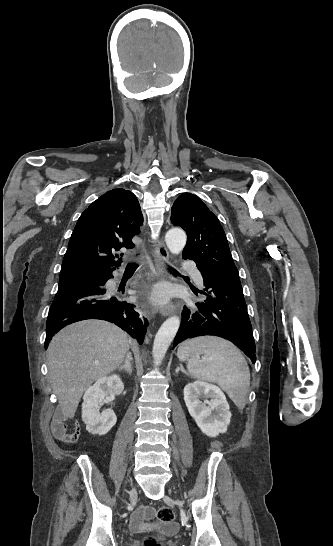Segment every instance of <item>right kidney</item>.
<instances>
[{"instance_id":"obj_1","label":"right kidney","mask_w":333,"mask_h":546,"mask_svg":"<svg viewBox=\"0 0 333 546\" xmlns=\"http://www.w3.org/2000/svg\"><path fill=\"white\" fill-rule=\"evenodd\" d=\"M123 390L124 384L115 374L98 379L86 390L83 396L82 419L89 433L105 435L116 424L117 417L114 411L106 409L100 413L99 406L108 394L120 395Z\"/></svg>"}]
</instances>
